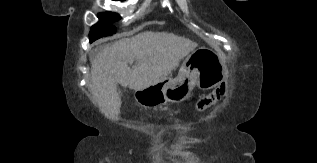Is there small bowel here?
<instances>
[{"instance_id": "small-bowel-1", "label": "small bowel", "mask_w": 317, "mask_h": 163, "mask_svg": "<svg viewBox=\"0 0 317 163\" xmlns=\"http://www.w3.org/2000/svg\"><path fill=\"white\" fill-rule=\"evenodd\" d=\"M168 157H169L168 151H164V152L162 153V155H161V159H162V160H166V159H168Z\"/></svg>"}]
</instances>
